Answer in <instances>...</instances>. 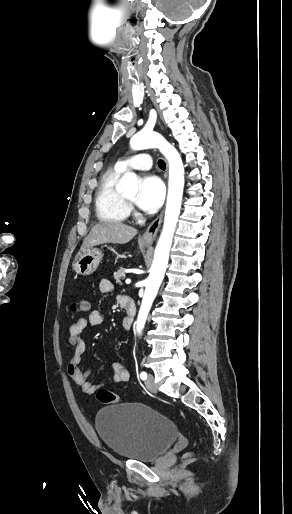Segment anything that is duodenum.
<instances>
[{"label":"duodenum","instance_id":"obj_1","mask_svg":"<svg viewBox=\"0 0 292 514\" xmlns=\"http://www.w3.org/2000/svg\"><path fill=\"white\" fill-rule=\"evenodd\" d=\"M119 303L121 307L127 312V316L124 319L123 328L129 331L132 327L133 318L135 315V301L131 296L121 295L119 296Z\"/></svg>","mask_w":292,"mask_h":514}]
</instances>
